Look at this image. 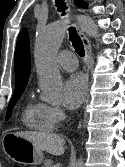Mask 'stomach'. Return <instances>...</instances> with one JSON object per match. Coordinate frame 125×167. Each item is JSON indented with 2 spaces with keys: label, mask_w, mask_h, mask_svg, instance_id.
<instances>
[{
  "label": "stomach",
  "mask_w": 125,
  "mask_h": 167,
  "mask_svg": "<svg viewBox=\"0 0 125 167\" xmlns=\"http://www.w3.org/2000/svg\"><path fill=\"white\" fill-rule=\"evenodd\" d=\"M6 137L7 141L3 144L4 151L13 161L34 165L43 162V152L32 142L15 135V133H8Z\"/></svg>",
  "instance_id": "stomach-1"
}]
</instances>
